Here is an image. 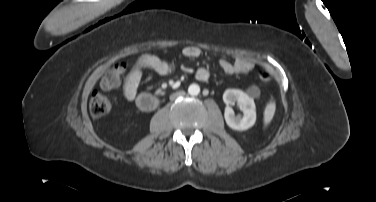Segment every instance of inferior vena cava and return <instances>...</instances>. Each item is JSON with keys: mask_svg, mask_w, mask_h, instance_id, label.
I'll list each match as a JSON object with an SVG mask.
<instances>
[{"mask_svg": "<svg viewBox=\"0 0 376 202\" xmlns=\"http://www.w3.org/2000/svg\"><path fill=\"white\" fill-rule=\"evenodd\" d=\"M182 93H177V94H175L172 98H175V97H177V96H179V95H181Z\"/></svg>", "mask_w": 376, "mask_h": 202, "instance_id": "inferior-vena-cava-1", "label": "inferior vena cava"}]
</instances>
